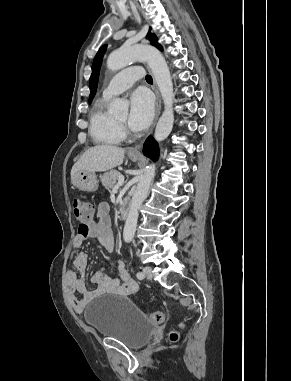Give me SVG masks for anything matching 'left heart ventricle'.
Returning a JSON list of instances; mask_svg holds the SVG:
<instances>
[{
    "instance_id": "left-heart-ventricle-1",
    "label": "left heart ventricle",
    "mask_w": 291,
    "mask_h": 381,
    "mask_svg": "<svg viewBox=\"0 0 291 381\" xmlns=\"http://www.w3.org/2000/svg\"><path fill=\"white\" fill-rule=\"evenodd\" d=\"M118 120L121 121V122H123V123H126L127 120H128V115H127V114H124V115L120 116V117L118 118Z\"/></svg>"
}]
</instances>
